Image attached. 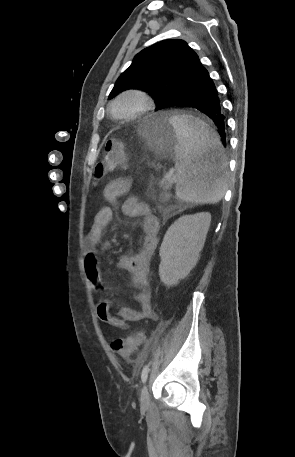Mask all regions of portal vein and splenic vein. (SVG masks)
Returning a JSON list of instances; mask_svg holds the SVG:
<instances>
[{
    "instance_id": "1",
    "label": "portal vein and splenic vein",
    "mask_w": 295,
    "mask_h": 457,
    "mask_svg": "<svg viewBox=\"0 0 295 457\" xmlns=\"http://www.w3.org/2000/svg\"><path fill=\"white\" fill-rule=\"evenodd\" d=\"M174 169H170L165 175L164 178L162 179V182H172L174 181Z\"/></svg>"
}]
</instances>
